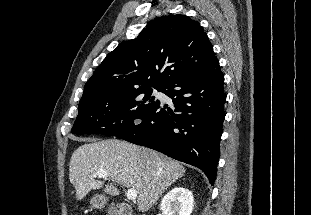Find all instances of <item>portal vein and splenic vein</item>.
Instances as JSON below:
<instances>
[{
	"label": "portal vein and splenic vein",
	"instance_id": "1",
	"mask_svg": "<svg viewBox=\"0 0 311 215\" xmlns=\"http://www.w3.org/2000/svg\"><path fill=\"white\" fill-rule=\"evenodd\" d=\"M94 177L107 178L108 172L105 170H99L94 174ZM125 196L127 199L134 201L137 198V191L135 189H129L128 191H125Z\"/></svg>",
	"mask_w": 311,
	"mask_h": 215
}]
</instances>
